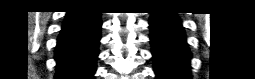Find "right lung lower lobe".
Wrapping results in <instances>:
<instances>
[{
	"instance_id": "98d812e1",
	"label": "right lung lower lobe",
	"mask_w": 255,
	"mask_h": 79,
	"mask_svg": "<svg viewBox=\"0 0 255 79\" xmlns=\"http://www.w3.org/2000/svg\"><path fill=\"white\" fill-rule=\"evenodd\" d=\"M101 25L99 12H68L55 51L56 79H93Z\"/></svg>"
}]
</instances>
